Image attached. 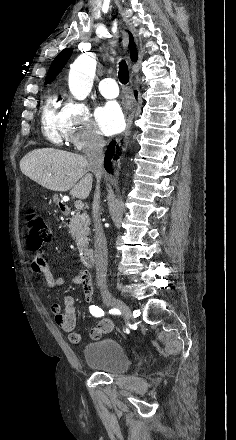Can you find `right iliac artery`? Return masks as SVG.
<instances>
[{
  "label": "right iliac artery",
  "mask_w": 236,
  "mask_h": 440,
  "mask_svg": "<svg viewBox=\"0 0 236 440\" xmlns=\"http://www.w3.org/2000/svg\"><path fill=\"white\" fill-rule=\"evenodd\" d=\"M90 313L95 316V317H101L104 316V311L99 308L98 306L92 305L89 307ZM112 311L110 310L109 313H111Z\"/></svg>",
  "instance_id": "1"
}]
</instances>
